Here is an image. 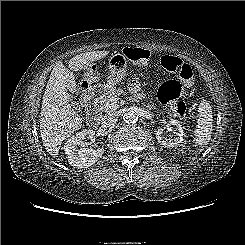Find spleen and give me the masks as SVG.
Listing matches in <instances>:
<instances>
[{"mask_svg": "<svg viewBox=\"0 0 245 245\" xmlns=\"http://www.w3.org/2000/svg\"><path fill=\"white\" fill-rule=\"evenodd\" d=\"M198 120L194 130L195 140L199 147L208 145L212 135V109L207 100H202L198 108Z\"/></svg>", "mask_w": 245, "mask_h": 245, "instance_id": "1", "label": "spleen"}]
</instances>
